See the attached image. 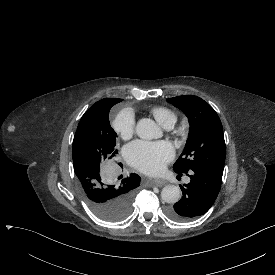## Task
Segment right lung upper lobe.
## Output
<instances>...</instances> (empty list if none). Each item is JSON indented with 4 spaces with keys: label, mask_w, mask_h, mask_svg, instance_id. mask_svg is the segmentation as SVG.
Here are the masks:
<instances>
[{
    "label": "right lung upper lobe",
    "mask_w": 275,
    "mask_h": 275,
    "mask_svg": "<svg viewBox=\"0 0 275 275\" xmlns=\"http://www.w3.org/2000/svg\"><path fill=\"white\" fill-rule=\"evenodd\" d=\"M120 101H122V99H117V98H105V99H102L98 102H96L94 105H92L90 107V110H96V109H99L105 105H109V104H112V103H119Z\"/></svg>",
    "instance_id": "cb5924a9"
}]
</instances>
